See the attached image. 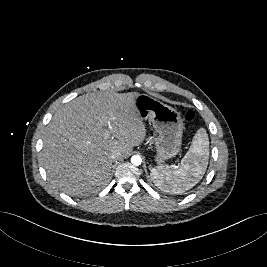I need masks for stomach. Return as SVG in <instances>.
Listing matches in <instances>:
<instances>
[{"label": "stomach", "mask_w": 267, "mask_h": 267, "mask_svg": "<svg viewBox=\"0 0 267 267\" xmlns=\"http://www.w3.org/2000/svg\"><path fill=\"white\" fill-rule=\"evenodd\" d=\"M134 108L142 121L150 120L158 133L155 139V160L162 165L175 157L182 144L183 120L172 107L146 95L139 94L134 101Z\"/></svg>", "instance_id": "obj_1"}]
</instances>
